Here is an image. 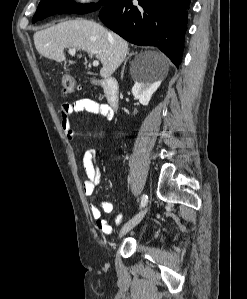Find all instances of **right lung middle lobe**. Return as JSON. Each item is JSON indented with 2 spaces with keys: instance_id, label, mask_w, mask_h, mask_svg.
Segmentation results:
<instances>
[{
  "instance_id": "dd1d6c3e",
  "label": "right lung middle lobe",
  "mask_w": 247,
  "mask_h": 299,
  "mask_svg": "<svg viewBox=\"0 0 247 299\" xmlns=\"http://www.w3.org/2000/svg\"><path fill=\"white\" fill-rule=\"evenodd\" d=\"M118 0H101L99 3L77 4L71 0H41L32 22L42 20L54 14H85L98 10L101 4L104 6Z\"/></svg>"
}]
</instances>
